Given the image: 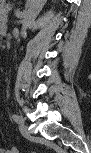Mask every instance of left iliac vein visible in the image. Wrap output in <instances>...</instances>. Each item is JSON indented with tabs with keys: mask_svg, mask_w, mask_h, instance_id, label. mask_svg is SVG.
<instances>
[{
	"mask_svg": "<svg viewBox=\"0 0 91 153\" xmlns=\"http://www.w3.org/2000/svg\"><path fill=\"white\" fill-rule=\"evenodd\" d=\"M19 130L24 137L26 138L31 137V133L28 131L27 126L25 125L23 120L19 122Z\"/></svg>",
	"mask_w": 91,
	"mask_h": 153,
	"instance_id": "left-iliac-vein-1",
	"label": "left iliac vein"
}]
</instances>
